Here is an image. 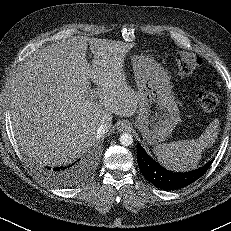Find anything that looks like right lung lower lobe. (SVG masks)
<instances>
[{"label": "right lung lower lobe", "mask_w": 231, "mask_h": 231, "mask_svg": "<svg viewBox=\"0 0 231 231\" xmlns=\"http://www.w3.org/2000/svg\"><path fill=\"white\" fill-rule=\"evenodd\" d=\"M95 159L96 154L92 153L68 166L41 168L40 173L46 180L55 185L63 187L74 186L78 184L91 169Z\"/></svg>", "instance_id": "98d812e1"}]
</instances>
